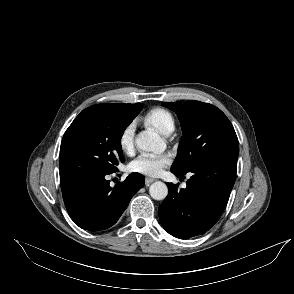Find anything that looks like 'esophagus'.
I'll use <instances>...</instances> for the list:
<instances>
[{
    "mask_svg": "<svg viewBox=\"0 0 294 294\" xmlns=\"http://www.w3.org/2000/svg\"><path fill=\"white\" fill-rule=\"evenodd\" d=\"M155 181V179H153V178H149V177H146L145 178V184L146 185H149V184H151L152 182H154Z\"/></svg>",
    "mask_w": 294,
    "mask_h": 294,
    "instance_id": "esophagus-1",
    "label": "esophagus"
}]
</instances>
